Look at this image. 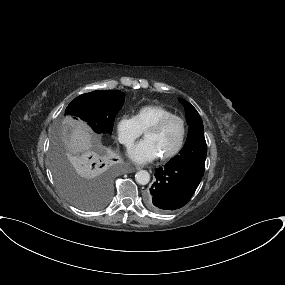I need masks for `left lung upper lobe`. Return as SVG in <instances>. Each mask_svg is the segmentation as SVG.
<instances>
[{"instance_id": "obj_1", "label": "left lung upper lobe", "mask_w": 285, "mask_h": 285, "mask_svg": "<svg viewBox=\"0 0 285 285\" xmlns=\"http://www.w3.org/2000/svg\"><path fill=\"white\" fill-rule=\"evenodd\" d=\"M184 105L189 125L188 138L180 154L171 159L168 164L174 167L188 169L200 176L204 175V165L207 155V145L200 115L186 100L179 99Z\"/></svg>"}]
</instances>
